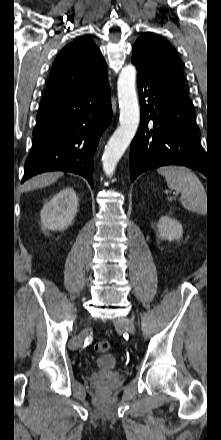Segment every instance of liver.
Segmentation results:
<instances>
[{"mask_svg":"<svg viewBox=\"0 0 221 440\" xmlns=\"http://www.w3.org/2000/svg\"><path fill=\"white\" fill-rule=\"evenodd\" d=\"M60 176H62V173L60 172H51L38 175L25 183L24 190L30 191L36 188L47 186L51 183H54Z\"/></svg>","mask_w":221,"mask_h":440,"instance_id":"obj_1","label":"liver"}]
</instances>
